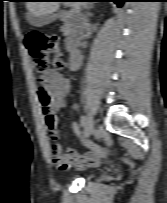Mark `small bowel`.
Wrapping results in <instances>:
<instances>
[{"label":"small bowel","mask_w":167,"mask_h":203,"mask_svg":"<svg viewBox=\"0 0 167 203\" xmlns=\"http://www.w3.org/2000/svg\"><path fill=\"white\" fill-rule=\"evenodd\" d=\"M38 81L39 83H43L51 94L49 103L42 108V115L49 137L52 140L50 145L52 160L60 170L65 171L73 167H96L101 163L103 158L115 152L113 148L105 147L91 140L83 139L81 133V124L78 122L72 123V131L85 143V145L89 148V151L83 154H78L73 149L63 151L61 144L57 141L58 131L56 128V112L67 105L66 97L71 88L70 79L62 72L49 70L44 72Z\"/></svg>","instance_id":"1"}]
</instances>
